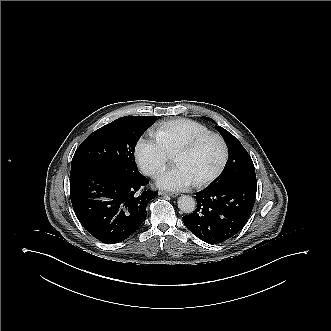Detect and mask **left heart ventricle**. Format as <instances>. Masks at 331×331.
<instances>
[{"instance_id": "1", "label": "left heart ventricle", "mask_w": 331, "mask_h": 331, "mask_svg": "<svg viewBox=\"0 0 331 331\" xmlns=\"http://www.w3.org/2000/svg\"><path fill=\"white\" fill-rule=\"evenodd\" d=\"M219 161V144L215 140H207L184 155L179 163L195 180L211 174Z\"/></svg>"}]
</instances>
